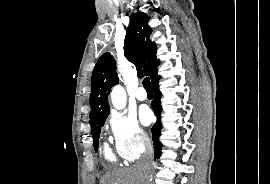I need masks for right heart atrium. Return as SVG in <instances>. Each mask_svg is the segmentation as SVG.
Here are the masks:
<instances>
[{"instance_id":"obj_1","label":"right heart atrium","mask_w":270,"mask_h":184,"mask_svg":"<svg viewBox=\"0 0 270 184\" xmlns=\"http://www.w3.org/2000/svg\"><path fill=\"white\" fill-rule=\"evenodd\" d=\"M118 155L128 163L134 162L149 146V138L135 117L113 112L107 120Z\"/></svg>"}]
</instances>
